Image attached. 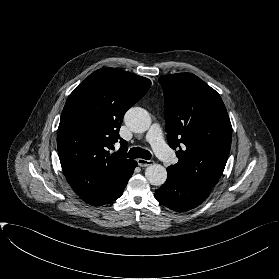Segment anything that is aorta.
<instances>
[{
    "mask_svg": "<svg viewBox=\"0 0 279 279\" xmlns=\"http://www.w3.org/2000/svg\"><path fill=\"white\" fill-rule=\"evenodd\" d=\"M124 122L131 131L143 133L149 129L151 118L145 109L133 107L126 112ZM145 177L150 184L160 186L167 179V171L160 164H151L146 168Z\"/></svg>",
    "mask_w": 279,
    "mask_h": 279,
    "instance_id": "obj_1",
    "label": "aorta"
}]
</instances>
